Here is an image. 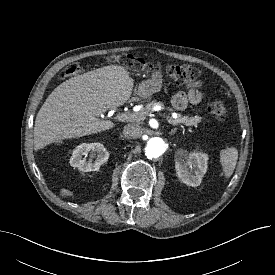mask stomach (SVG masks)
Listing matches in <instances>:
<instances>
[{"instance_id":"obj_1","label":"stomach","mask_w":275,"mask_h":275,"mask_svg":"<svg viewBox=\"0 0 275 275\" xmlns=\"http://www.w3.org/2000/svg\"><path fill=\"white\" fill-rule=\"evenodd\" d=\"M162 81V73L159 70L154 71L151 79L145 80L139 84L138 95L146 98L159 92L162 88Z\"/></svg>"}]
</instances>
